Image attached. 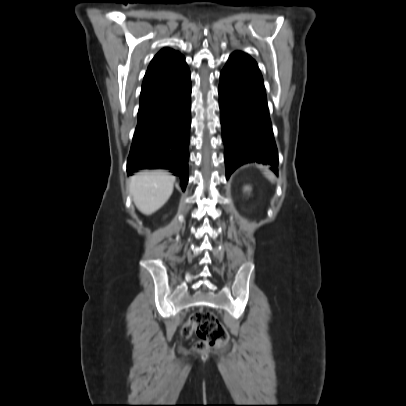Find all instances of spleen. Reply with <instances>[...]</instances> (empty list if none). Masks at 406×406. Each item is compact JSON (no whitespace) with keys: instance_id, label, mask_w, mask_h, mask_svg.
Instances as JSON below:
<instances>
[{"instance_id":"spleen-1","label":"spleen","mask_w":406,"mask_h":406,"mask_svg":"<svg viewBox=\"0 0 406 406\" xmlns=\"http://www.w3.org/2000/svg\"><path fill=\"white\" fill-rule=\"evenodd\" d=\"M264 174L266 175V177L268 178V179H270L271 181H273V179H274V177H273V175L269 172V171H265L264 172Z\"/></svg>"}]
</instances>
